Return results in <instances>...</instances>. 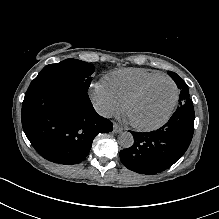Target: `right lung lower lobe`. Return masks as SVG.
Masks as SVG:
<instances>
[{"label":"right lung lower lobe","instance_id":"98d812e1","mask_svg":"<svg viewBox=\"0 0 219 219\" xmlns=\"http://www.w3.org/2000/svg\"><path fill=\"white\" fill-rule=\"evenodd\" d=\"M21 117L35 150L60 164L82 162L94 137L113 129L112 122L96 113L87 91L76 83L57 79L31 82Z\"/></svg>","mask_w":219,"mask_h":219}]
</instances>
